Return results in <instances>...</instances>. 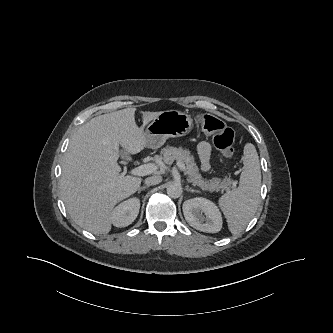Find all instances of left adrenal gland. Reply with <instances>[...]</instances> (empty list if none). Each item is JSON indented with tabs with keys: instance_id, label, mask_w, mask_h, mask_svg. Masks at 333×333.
Segmentation results:
<instances>
[{
	"instance_id": "a2214340",
	"label": "left adrenal gland",
	"mask_w": 333,
	"mask_h": 333,
	"mask_svg": "<svg viewBox=\"0 0 333 333\" xmlns=\"http://www.w3.org/2000/svg\"><path fill=\"white\" fill-rule=\"evenodd\" d=\"M185 189H186V191H191V192H197V193H199L198 190H195V189H193V188H190L189 186H186Z\"/></svg>"
}]
</instances>
